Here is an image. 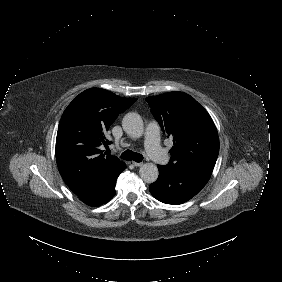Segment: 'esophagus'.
Masks as SVG:
<instances>
[{
	"instance_id": "1",
	"label": "esophagus",
	"mask_w": 282,
	"mask_h": 282,
	"mask_svg": "<svg viewBox=\"0 0 282 282\" xmlns=\"http://www.w3.org/2000/svg\"><path fill=\"white\" fill-rule=\"evenodd\" d=\"M132 164H133L135 167H140V166L143 165L142 162H135V161H133Z\"/></svg>"
}]
</instances>
